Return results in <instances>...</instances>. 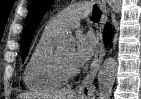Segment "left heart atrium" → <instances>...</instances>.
<instances>
[{
	"label": "left heart atrium",
	"mask_w": 141,
	"mask_h": 99,
	"mask_svg": "<svg viewBox=\"0 0 141 99\" xmlns=\"http://www.w3.org/2000/svg\"><path fill=\"white\" fill-rule=\"evenodd\" d=\"M95 44V39L90 34H80L77 36L76 46L71 58L74 67L82 66L92 56Z\"/></svg>",
	"instance_id": "39dd6f15"
}]
</instances>
